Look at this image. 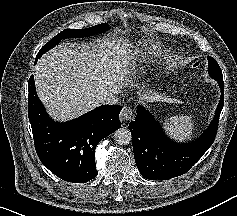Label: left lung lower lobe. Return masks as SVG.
Instances as JSON below:
<instances>
[{
	"label": "left lung lower lobe",
	"instance_id": "1",
	"mask_svg": "<svg viewBox=\"0 0 237 216\" xmlns=\"http://www.w3.org/2000/svg\"><path fill=\"white\" fill-rule=\"evenodd\" d=\"M215 117L197 140L188 144L172 142L163 133L153 116L143 107H137L135 121L129 124L133 138V152L141 175L149 180L171 179L187 171L204 155L214 142L224 100V85Z\"/></svg>",
	"mask_w": 237,
	"mask_h": 216
}]
</instances>
